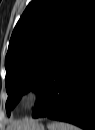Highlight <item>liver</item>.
<instances>
[{"label": "liver", "mask_w": 95, "mask_h": 130, "mask_svg": "<svg viewBox=\"0 0 95 130\" xmlns=\"http://www.w3.org/2000/svg\"><path fill=\"white\" fill-rule=\"evenodd\" d=\"M27 122H29V121H27ZM27 122H24V123L16 122V123H14L12 126H10L8 130L21 128L22 125L25 124V123H27Z\"/></svg>", "instance_id": "obj_1"}]
</instances>
